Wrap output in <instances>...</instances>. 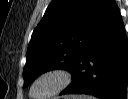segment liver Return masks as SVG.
I'll use <instances>...</instances> for the list:
<instances>
[{
  "label": "liver",
  "mask_w": 128,
  "mask_h": 99,
  "mask_svg": "<svg viewBox=\"0 0 128 99\" xmlns=\"http://www.w3.org/2000/svg\"><path fill=\"white\" fill-rule=\"evenodd\" d=\"M71 98H73V99H82V97H68V99H71Z\"/></svg>",
  "instance_id": "liver-1"
}]
</instances>
